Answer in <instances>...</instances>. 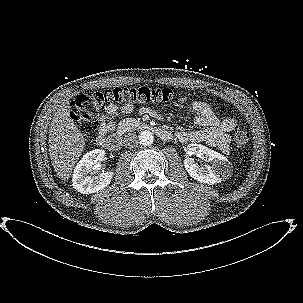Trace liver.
<instances>
[{"instance_id":"liver-1","label":"liver","mask_w":303,"mask_h":303,"mask_svg":"<svg viewBox=\"0 0 303 303\" xmlns=\"http://www.w3.org/2000/svg\"><path fill=\"white\" fill-rule=\"evenodd\" d=\"M69 99L66 97L57 105L48 140L53 168L63 181L70 178L85 145L83 134L70 117Z\"/></svg>"}]
</instances>
